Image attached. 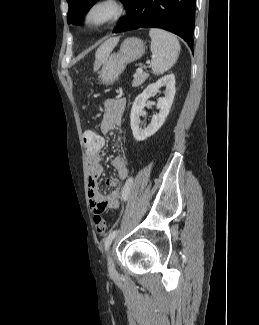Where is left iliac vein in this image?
I'll return each instance as SVG.
<instances>
[{"mask_svg":"<svg viewBox=\"0 0 259 325\" xmlns=\"http://www.w3.org/2000/svg\"><path fill=\"white\" fill-rule=\"evenodd\" d=\"M108 270H109V275L111 277L117 276V271H116V268H115V265H114V262H113V259L111 256V252H109V255H108Z\"/></svg>","mask_w":259,"mask_h":325,"instance_id":"4c4485c4","label":"left iliac vein"}]
</instances>
